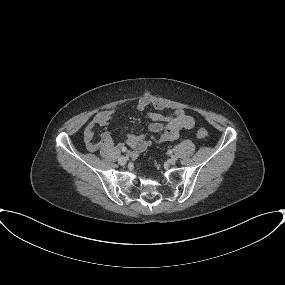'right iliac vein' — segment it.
<instances>
[{
  "label": "right iliac vein",
  "instance_id": "1",
  "mask_svg": "<svg viewBox=\"0 0 285 285\" xmlns=\"http://www.w3.org/2000/svg\"><path fill=\"white\" fill-rule=\"evenodd\" d=\"M127 160H128V157H126V156H121V157H119V159H118V163H119L120 165H125L126 162H127Z\"/></svg>",
  "mask_w": 285,
  "mask_h": 285
}]
</instances>
